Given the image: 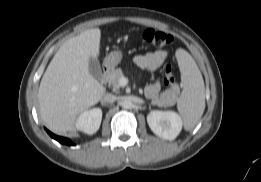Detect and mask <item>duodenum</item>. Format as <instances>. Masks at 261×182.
I'll return each instance as SVG.
<instances>
[{
	"mask_svg": "<svg viewBox=\"0 0 261 182\" xmlns=\"http://www.w3.org/2000/svg\"><path fill=\"white\" fill-rule=\"evenodd\" d=\"M109 70H110V68H109L108 66H104V68H103V74H102V79H101L102 82H106V81H107V77H108V74H109Z\"/></svg>",
	"mask_w": 261,
	"mask_h": 182,
	"instance_id": "duodenum-1",
	"label": "duodenum"
}]
</instances>
